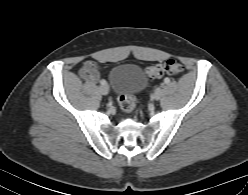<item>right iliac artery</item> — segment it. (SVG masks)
Instances as JSON below:
<instances>
[{
    "instance_id": "82829eb1",
    "label": "right iliac artery",
    "mask_w": 248,
    "mask_h": 195,
    "mask_svg": "<svg viewBox=\"0 0 248 195\" xmlns=\"http://www.w3.org/2000/svg\"><path fill=\"white\" fill-rule=\"evenodd\" d=\"M101 84H102V85H106V81H105V80H102V81H101Z\"/></svg>"
}]
</instances>
